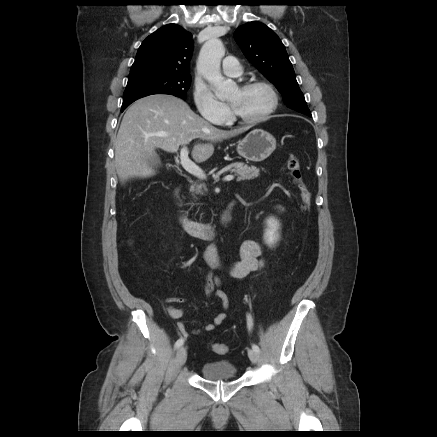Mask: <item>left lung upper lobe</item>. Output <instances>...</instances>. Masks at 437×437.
<instances>
[{
  "label": "left lung upper lobe",
  "mask_w": 437,
  "mask_h": 437,
  "mask_svg": "<svg viewBox=\"0 0 437 437\" xmlns=\"http://www.w3.org/2000/svg\"><path fill=\"white\" fill-rule=\"evenodd\" d=\"M234 38L249 62L282 94L285 105L312 117L285 46L276 33L265 24L253 21L238 27Z\"/></svg>",
  "instance_id": "5c2ea615"
}]
</instances>
